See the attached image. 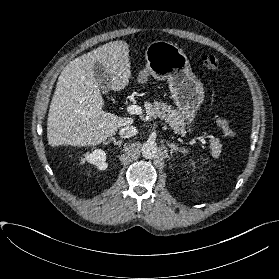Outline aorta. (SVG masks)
Listing matches in <instances>:
<instances>
[{
	"label": "aorta",
	"instance_id": "aorta-1",
	"mask_svg": "<svg viewBox=\"0 0 279 279\" xmlns=\"http://www.w3.org/2000/svg\"><path fill=\"white\" fill-rule=\"evenodd\" d=\"M142 155L147 159L155 158L157 155V144L153 141H147L142 145Z\"/></svg>",
	"mask_w": 279,
	"mask_h": 279
}]
</instances>
